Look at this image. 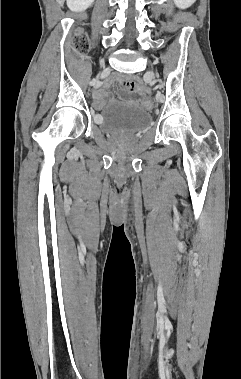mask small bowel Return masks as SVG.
<instances>
[{
  "label": "small bowel",
  "instance_id": "c3829d8e",
  "mask_svg": "<svg viewBox=\"0 0 241 379\" xmlns=\"http://www.w3.org/2000/svg\"><path fill=\"white\" fill-rule=\"evenodd\" d=\"M115 80L116 79L108 80L94 93L95 107L97 109H101L105 105V98L108 94V87H110ZM120 83L126 91V95L124 96L125 100L132 103L139 101V93L133 91L136 87L134 82L121 80Z\"/></svg>",
  "mask_w": 241,
  "mask_h": 379
}]
</instances>
